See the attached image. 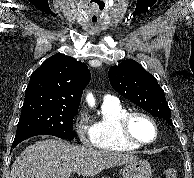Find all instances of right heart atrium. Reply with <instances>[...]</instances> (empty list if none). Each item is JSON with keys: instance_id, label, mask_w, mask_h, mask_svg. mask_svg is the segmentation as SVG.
Listing matches in <instances>:
<instances>
[{"instance_id": "right-heart-atrium-1", "label": "right heart atrium", "mask_w": 194, "mask_h": 178, "mask_svg": "<svg viewBox=\"0 0 194 178\" xmlns=\"http://www.w3.org/2000/svg\"><path fill=\"white\" fill-rule=\"evenodd\" d=\"M73 128L79 142L84 146L93 144V132L88 113L81 109L73 119Z\"/></svg>"}]
</instances>
